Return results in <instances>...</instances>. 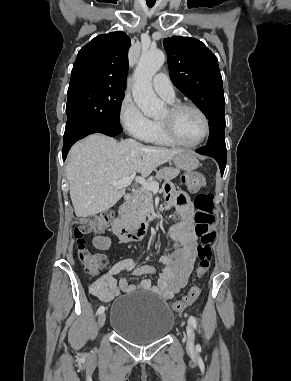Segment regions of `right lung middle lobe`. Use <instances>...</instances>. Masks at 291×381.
<instances>
[{"label": "right lung middle lobe", "instance_id": "dd1d6c3e", "mask_svg": "<svg viewBox=\"0 0 291 381\" xmlns=\"http://www.w3.org/2000/svg\"><path fill=\"white\" fill-rule=\"evenodd\" d=\"M124 90L125 88L103 85H70L64 139H76L98 126L119 124Z\"/></svg>", "mask_w": 291, "mask_h": 381}]
</instances>
